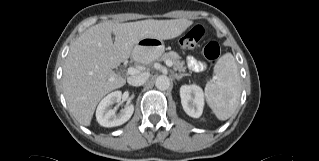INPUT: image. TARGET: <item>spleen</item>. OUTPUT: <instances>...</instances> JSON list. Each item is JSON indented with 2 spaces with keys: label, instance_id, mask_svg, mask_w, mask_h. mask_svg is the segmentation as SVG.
<instances>
[{
  "label": "spleen",
  "instance_id": "obj_1",
  "mask_svg": "<svg viewBox=\"0 0 319 161\" xmlns=\"http://www.w3.org/2000/svg\"><path fill=\"white\" fill-rule=\"evenodd\" d=\"M214 73V80L205 87L206 101L219 120H227L237 109L242 90L237 64L231 53L219 58Z\"/></svg>",
  "mask_w": 319,
  "mask_h": 161
}]
</instances>
